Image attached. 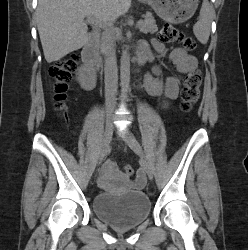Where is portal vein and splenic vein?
Wrapping results in <instances>:
<instances>
[{
  "instance_id": "1",
  "label": "portal vein and splenic vein",
  "mask_w": 248,
  "mask_h": 250,
  "mask_svg": "<svg viewBox=\"0 0 248 250\" xmlns=\"http://www.w3.org/2000/svg\"><path fill=\"white\" fill-rule=\"evenodd\" d=\"M87 21L99 27H103L102 23L99 20H97L95 17H93L92 15L87 16ZM140 21L137 22V26L140 24Z\"/></svg>"
}]
</instances>
